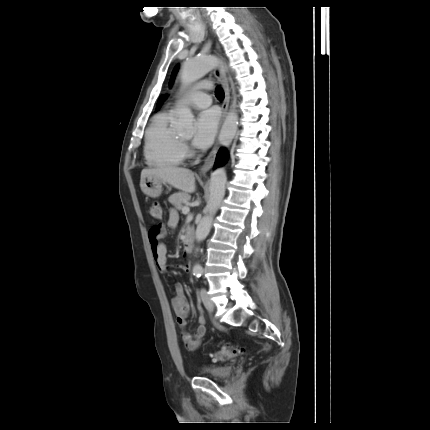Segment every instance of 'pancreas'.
<instances>
[{
	"mask_svg": "<svg viewBox=\"0 0 430 430\" xmlns=\"http://www.w3.org/2000/svg\"><path fill=\"white\" fill-rule=\"evenodd\" d=\"M168 200L176 209L181 210L183 204L190 200V195L185 192H178L172 194Z\"/></svg>",
	"mask_w": 430,
	"mask_h": 430,
	"instance_id": "cf45deb5",
	"label": "pancreas"
}]
</instances>
